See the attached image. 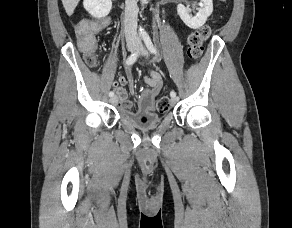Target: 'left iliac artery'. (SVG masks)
Instances as JSON below:
<instances>
[{"instance_id":"1","label":"left iliac artery","mask_w":292,"mask_h":228,"mask_svg":"<svg viewBox=\"0 0 292 228\" xmlns=\"http://www.w3.org/2000/svg\"><path fill=\"white\" fill-rule=\"evenodd\" d=\"M143 39H144V43H145L146 47L148 48V50L151 53L157 55L158 54V51H157L156 47L154 46V44L152 43L151 38L149 37V35L146 34V33L143 34ZM170 96L171 97H176V92L174 90H172L170 92Z\"/></svg>"}]
</instances>
